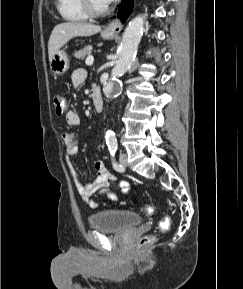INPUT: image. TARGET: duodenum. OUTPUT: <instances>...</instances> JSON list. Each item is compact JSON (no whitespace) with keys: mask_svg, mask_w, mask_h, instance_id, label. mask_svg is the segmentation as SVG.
<instances>
[{"mask_svg":"<svg viewBox=\"0 0 243 289\" xmlns=\"http://www.w3.org/2000/svg\"><path fill=\"white\" fill-rule=\"evenodd\" d=\"M92 100H93V105H94L95 110L97 112L102 111V109H103V99H102L100 91L97 88L94 89V91H93Z\"/></svg>","mask_w":243,"mask_h":289,"instance_id":"1","label":"duodenum"}]
</instances>
